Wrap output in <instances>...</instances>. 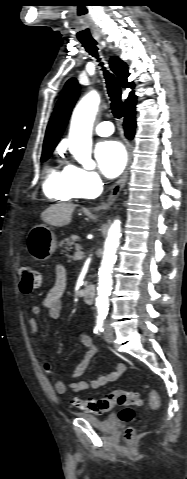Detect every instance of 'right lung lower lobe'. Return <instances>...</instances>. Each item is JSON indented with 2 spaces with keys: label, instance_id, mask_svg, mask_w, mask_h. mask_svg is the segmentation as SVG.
<instances>
[{
  "label": "right lung lower lobe",
  "instance_id": "right-lung-lower-lobe-1",
  "mask_svg": "<svg viewBox=\"0 0 187 479\" xmlns=\"http://www.w3.org/2000/svg\"><path fill=\"white\" fill-rule=\"evenodd\" d=\"M136 128L135 121V106L129 109H126L125 120H124V129L126 136L130 139L133 138Z\"/></svg>",
  "mask_w": 187,
  "mask_h": 479
}]
</instances>
